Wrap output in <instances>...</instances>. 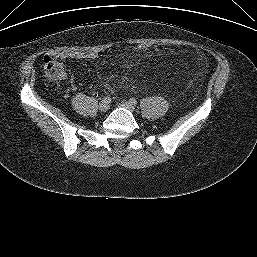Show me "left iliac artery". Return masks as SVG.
I'll list each match as a JSON object with an SVG mask.
<instances>
[{
  "label": "left iliac artery",
  "mask_w": 257,
  "mask_h": 257,
  "mask_svg": "<svg viewBox=\"0 0 257 257\" xmlns=\"http://www.w3.org/2000/svg\"><path fill=\"white\" fill-rule=\"evenodd\" d=\"M130 103H132L133 105H136L137 104V100L135 98H131L130 100Z\"/></svg>",
  "instance_id": "obj_1"
}]
</instances>
